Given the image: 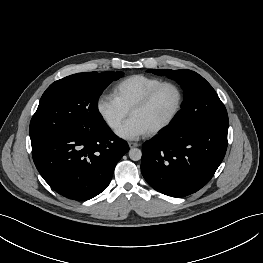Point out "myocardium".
Here are the masks:
<instances>
[{"label": "myocardium", "mask_w": 263, "mask_h": 263, "mask_svg": "<svg viewBox=\"0 0 263 263\" xmlns=\"http://www.w3.org/2000/svg\"><path fill=\"white\" fill-rule=\"evenodd\" d=\"M164 86H171L173 87L178 94V100L176 107L172 114L161 124L157 125L154 127L152 130L148 132L150 135H155L160 133L161 131L165 130L168 128L178 117L180 114L183 104H184V91L182 87L175 81L171 80H166V81H161L160 83L156 84L154 87H152L140 100H138L129 110V114L131 115L134 111L138 109H142L145 106L149 104V102L152 100V98L155 96V94Z\"/></svg>", "instance_id": "obj_1"}]
</instances>
